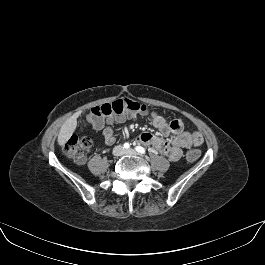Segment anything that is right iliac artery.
<instances>
[{"instance_id": "right-iliac-artery-1", "label": "right iliac artery", "mask_w": 265, "mask_h": 265, "mask_svg": "<svg viewBox=\"0 0 265 265\" xmlns=\"http://www.w3.org/2000/svg\"><path fill=\"white\" fill-rule=\"evenodd\" d=\"M124 148H125V149L130 148V144H129V143H125V144H124Z\"/></svg>"}]
</instances>
